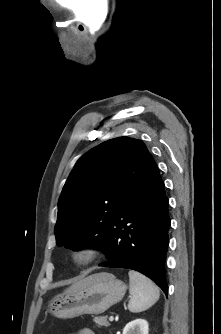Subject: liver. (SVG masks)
<instances>
[{
    "mask_svg": "<svg viewBox=\"0 0 221 334\" xmlns=\"http://www.w3.org/2000/svg\"><path fill=\"white\" fill-rule=\"evenodd\" d=\"M89 283L88 278L83 277L76 283L72 284L69 288L66 289V292H71L77 289H80Z\"/></svg>",
    "mask_w": 221,
    "mask_h": 334,
    "instance_id": "6515ba94",
    "label": "liver"
}]
</instances>
